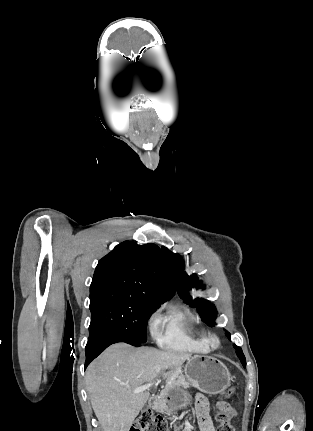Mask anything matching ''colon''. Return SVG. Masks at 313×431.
<instances>
[{"label": "colon", "mask_w": 313, "mask_h": 431, "mask_svg": "<svg viewBox=\"0 0 313 431\" xmlns=\"http://www.w3.org/2000/svg\"><path fill=\"white\" fill-rule=\"evenodd\" d=\"M234 393L235 389L228 387L224 390L223 396L230 398ZM130 431H168V426L161 416L156 415L152 408H148L134 421ZM216 431H234L226 412L219 415V425Z\"/></svg>", "instance_id": "1"}]
</instances>
